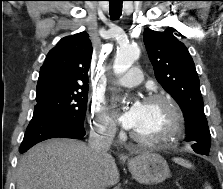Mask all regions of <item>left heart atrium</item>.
I'll list each match as a JSON object with an SVG mask.
<instances>
[{
    "mask_svg": "<svg viewBox=\"0 0 223 189\" xmlns=\"http://www.w3.org/2000/svg\"><path fill=\"white\" fill-rule=\"evenodd\" d=\"M143 102L135 99L119 115V123L126 129H133L140 121L143 114Z\"/></svg>",
    "mask_w": 223,
    "mask_h": 189,
    "instance_id": "1",
    "label": "left heart atrium"
}]
</instances>
